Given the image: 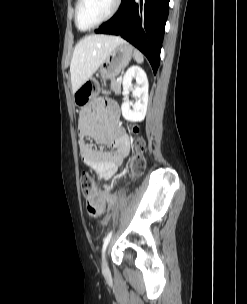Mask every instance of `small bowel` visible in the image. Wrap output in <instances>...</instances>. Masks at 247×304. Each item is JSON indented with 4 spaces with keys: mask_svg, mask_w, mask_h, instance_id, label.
<instances>
[{
    "mask_svg": "<svg viewBox=\"0 0 247 304\" xmlns=\"http://www.w3.org/2000/svg\"><path fill=\"white\" fill-rule=\"evenodd\" d=\"M79 149L85 165L109 180L130 150V138L119 121V109L111 101H98L80 112ZM111 146L112 150L104 149Z\"/></svg>",
    "mask_w": 247,
    "mask_h": 304,
    "instance_id": "small-bowel-1",
    "label": "small bowel"
}]
</instances>
